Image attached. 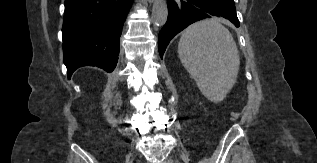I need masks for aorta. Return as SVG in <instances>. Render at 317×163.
<instances>
[{
    "label": "aorta",
    "mask_w": 317,
    "mask_h": 163,
    "mask_svg": "<svg viewBox=\"0 0 317 163\" xmlns=\"http://www.w3.org/2000/svg\"><path fill=\"white\" fill-rule=\"evenodd\" d=\"M168 18V7L165 0H154L152 8V22L155 26H163Z\"/></svg>",
    "instance_id": "aorta-1"
}]
</instances>
